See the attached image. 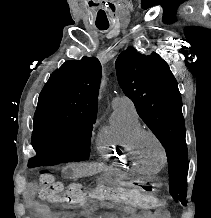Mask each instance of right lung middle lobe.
<instances>
[{"label": "right lung middle lobe", "instance_id": "dd1d6c3e", "mask_svg": "<svg viewBox=\"0 0 211 218\" xmlns=\"http://www.w3.org/2000/svg\"><path fill=\"white\" fill-rule=\"evenodd\" d=\"M96 115L37 109L32 142L40 144L71 143L89 158L90 138Z\"/></svg>", "mask_w": 211, "mask_h": 218}]
</instances>
